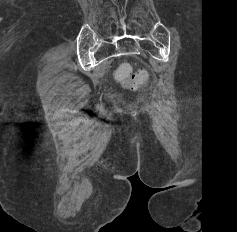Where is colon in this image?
I'll return each mask as SVG.
<instances>
[{
    "instance_id": "1",
    "label": "colon",
    "mask_w": 237,
    "mask_h": 232,
    "mask_svg": "<svg viewBox=\"0 0 237 232\" xmlns=\"http://www.w3.org/2000/svg\"><path fill=\"white\" fill-rule=\"evenodd\" d=\"M116 78L124 86L135 89L145 81L146 72L139 71L132 74L131 67L128 64H122L116 72Z\"/></svg>"
}]
</instances>
